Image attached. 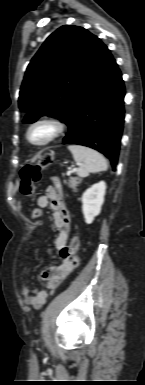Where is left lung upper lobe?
I'll use <instances>...</instances> for the list:
<instances>
[{
	"mask_svg": "<svg viewBox=\"0 0 145 385\" xmlns=\"http://www.w3.org/2000/svg\"><path fill=\"white\" fill-rule=\"evenodd\" d=\"M98 38L88 30L65 25L52 33L29 63L20 89L24 123L47 115L66 123L90 66Z\"/></svg>",
	"mask_w": 145,
	"mask_h": 385,
	"instance_id": "1",
	"label": "left lung upper lobe"
}]
</instances>
